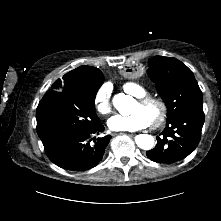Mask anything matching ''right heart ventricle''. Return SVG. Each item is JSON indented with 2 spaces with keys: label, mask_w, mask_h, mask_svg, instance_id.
<instances>
[{
  "label": "right heart ventricle",
  "mask_w": 221,
  "mask_h": 221,
  "mask_svg": "<svg viewBox=\"0 0 221 221\" xmlns=\"http://www.w3.org/2000/svg\"><path fill=\"white\" fill-rule=\"evenodd\" d=\"M123 88L129 94L135 96L136 98L147 96V91L144 87L135 82H126Z\"/></svg>",
  "instance_id": "obj_1"
}]
</instances>
